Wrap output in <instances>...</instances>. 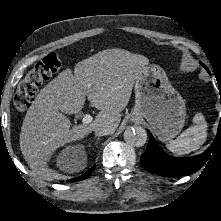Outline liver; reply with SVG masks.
<instances>
[{
    "mask_svg": "<svg viewBox=\"0 0 221 221\" xmlns=\"http://www.w3.org/2000/svg\"><path fill=\"white\" fill-rule=\"evenodd\" d=\"M148 64L143 55L106 49L78 62L74 74L66 69L49 82L29 107L21 127L20 149L33 175L47 181L61 179L47 166L56 149L84 138L97 126H111L115 131L135 79ZM86 96L100 112L93 122L70 128V120L62 113L77 114Z\"/></svg>",
    "mask_w": 221,
    "mask_h": 221,
    "instance_id": "1",
    "label": "liver"
}]
</instances>
